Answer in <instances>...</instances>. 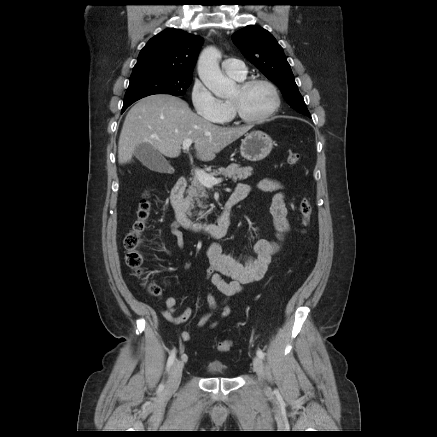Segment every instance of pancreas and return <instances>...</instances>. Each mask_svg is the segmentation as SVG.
Returning <instances> with one entry per match:
<instances>
[{"mask_svg": "<svg viewBox=\"0 0 437 437\" xmlns=\"http://www.w3.org/2000/svg\"><path fill=\"white\" fill-rule=\"evenodd\" d=\"M251 167H240V165L232 163L226 168L220 167L217 170H213V172L209 173L211 176L223 175L225 177L231 178L234 182L238 180L247 179L252 175ZM208 198V194L206 188L203 184H201L198 179L195 177L191 181V185L187 190L186 202L189 205V209H194L196 206L201 209H207L206 199ZM209 211L200 210L197 215V220L205 218Z\"/></svg>", "mask_w": 437, "mask_h": 437, "instance_id": "cf45deb5", "label": "pancreas"}]
</instances>
